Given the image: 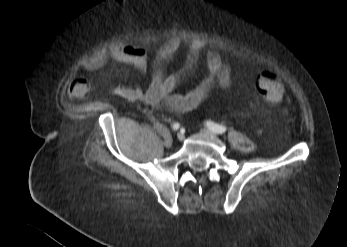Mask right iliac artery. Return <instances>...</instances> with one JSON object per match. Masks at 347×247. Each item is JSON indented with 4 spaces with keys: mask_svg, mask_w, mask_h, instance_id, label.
Masks as SVG:
<instances>
[{
    "mask_svg": "<svg viewBox=\"0 0 347 247\" xmlns=\"http://www.w3.org/2000/svg\"><path fill=\"white\" fill-rule=\"evenodd\" d=\"M179 127H180V124L176 122V123L173 124L172 129L174 131H177L179 129Z\"/></svg>",
    "mask_w": 347,
    "mask_h": 247,
    "instance_id": "obj_1",
    "label": "right iliac artery"
}]
</instances>
